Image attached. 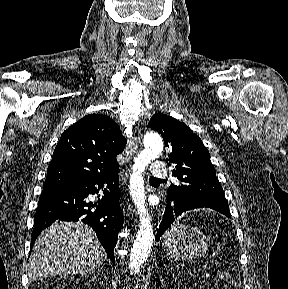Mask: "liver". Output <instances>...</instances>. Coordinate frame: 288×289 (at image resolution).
<instances>
[{"mask_svg":"<svg viewBox=\"0 0 288 289\" xmlns=\"http://www.w3.org/2000/svg\"><path fill=\"white\" fill-rule=\"evenodd\" d=\"M106 253L88 226L81 222H60L37 238L28 263V277L88 274L105 261Z\"/></svg>","mask_w":288,"mask_h":289,"instance_id":"obj_1","label":"liver"}]
</instances>
